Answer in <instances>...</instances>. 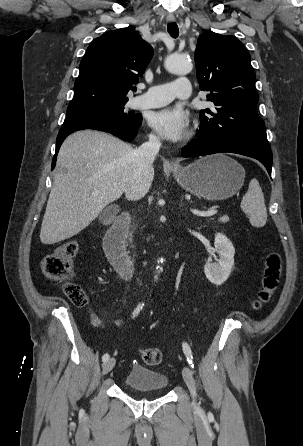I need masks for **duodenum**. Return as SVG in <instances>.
<instances>
[{
  "label": "duodenum",
  "instance_id": "obj_1",
  "mask_svg": "<svg viewBox=\"0 0 303 446\" xmlns=\"http://www.w3.org/2000/svg\"><path fill=\"white\" fill-rule=\"evenodd\" d=\"M131 221L128 212H121L104 237V250L111 264L126 277L131 276L134 265L125 249L126 233Z\"/></svg>",
  "mask_w": 303,
  "mask_h": 446
}]
</instances>
